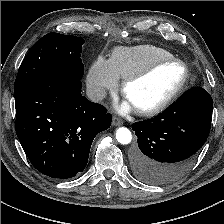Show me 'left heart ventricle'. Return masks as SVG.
Listing matches in <instances>:
<instances>
[{
	"label": "left heart ventricle",
	"mask_w": 224,
	"mask_h": 224,
	"mask_svg": "<svg viewBox=\"0 0 224 224\" xmlns=\"http://www.w3.org/2000/svg\"><path fill=\"white\" fill-rule=\"evenodd\" d=\"M183 74V68L178 63L163 65L146 78L131 84L127 91V100L135 109L153 107L178 86Z\"/></svg>",
	"instance_id": "1"
}]
</instances>
